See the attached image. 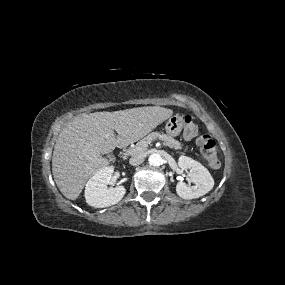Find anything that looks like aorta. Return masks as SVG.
Returning a JSON list of instances; mask_svg holds the SVG:
<instances>
[{
    "instance_id": "762f6f07",
    "label": "aorta",
    "mask_w": 285,
    "mask_h": 285,
    "mask_svg": "<svg viewBox=\"0 0 285 285\" xmlns=\"http://www.w3.org/2000/svg\"><path fill=\"white\" fill-rule=\"evenodd\" d=\"M148 161L152 166H160L163 162V159L160 154L155 153L149 156Z\"/></svg>"
}]
</instances>
